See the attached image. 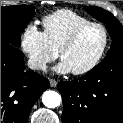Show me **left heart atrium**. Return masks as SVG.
I'll use <instances>...</instances> for the list:
<instances>
[{"label": "left heart atrium", "instance_id": "1", "mask_svg": "<svg viewBox=\"0 0 123 123\" xmlns=\"http://www.w3.org/2000/svg\"><path fill=\"white\" fill-rule=\"evenodd\" d=\"M55 72L60 73V74H66L71 72V68L69 65L64 61L61 60L54 68Z\"/></svg>", "mask_w": 123, "mask_h": 123}]
</instances>
